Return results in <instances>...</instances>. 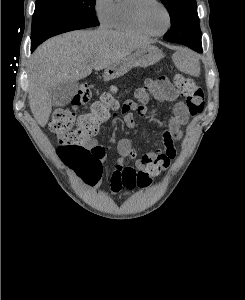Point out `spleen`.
<instances>
[{"instance_id": "spleen-1", "label": "spleen", "mask_w": 245, "mask_h": 300, "mask_svg": "<svg viewBox=\"0 0 245 300\" xmlns=\"http://www.w3.org/2000/svg\"><path fill=\"white\" fill-rule=\"evenodd\" d=\"M180 70L192 76H199L200 65L198 58L192 53H186L184 55L183 63L180 66Z\"/></svg>"}]
</instances>
